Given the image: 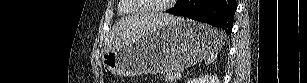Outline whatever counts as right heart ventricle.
I'll return each instance as SVG.
<instances>
[{
  "mask_svg": "<svg viewBox=\"0 0 307 83\" xmlns=\"http://www.w3.org/2000/svg\"><path fill=\"white\" fill-rule=\"evenodd\" d=\"M119 12L121 14H129V13L139 12V11L130 3L127 4L125 1H122V3L119 6Z\"/></svg>",
  "mask_w": 307,
  "mask_h": 83,
  "instance_id": "right-heart-ventricle-1",
  "label": "right heart ventricle"
}]
</instances>
